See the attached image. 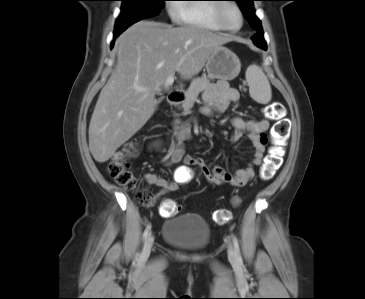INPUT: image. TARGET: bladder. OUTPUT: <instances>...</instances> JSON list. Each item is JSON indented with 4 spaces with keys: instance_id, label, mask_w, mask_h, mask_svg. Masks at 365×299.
<instances>
[{
    "instance_id": "31cf9c89",
    "label": "bladder",
    "mask_w": 365,
    "mask_h": 299,
    "mask_svg": "<svg viewBox=\"0 0 365 299\" xmlns=\"http://www.w3.org/2000/svg\"><path fill=\"white\" fill-rule=\"evenodd\" d=\"M162 239L175 249L185 252H200L208 246L211 231L202 216L184 213L164 223Z\"/></svg>"
}]
</instances>
